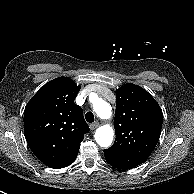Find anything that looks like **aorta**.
<instances>
[{
    "label": "aorta",
    "instance_id": "1",
    "mask_svg": "<svg viewBox=\"0 0 194 194\" xmlns=\"http://www.w3.org/2000/svg\"><path fill=\"white\" fill-rule=\"evenodd\" d=\"M93 109L101 119H109L112 115L111 106L102 99L94 102ZM94 137L99 146L107 148L112 144L114 130L110 125L100 126L96 130Z\"/></svg>",
    "mask_w": 194,
    "mask_h": 194
}]
</instances>
